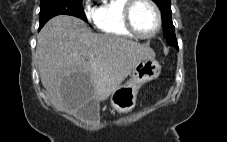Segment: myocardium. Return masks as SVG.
<instances>
[{"label": "myocardium", "mask_w": 227, "mask_h": 142, "mask_svg": "<svg viewBox=\"0 0 227 142\" xmlns=\"http://www.w3.org/2000/svg\"><path fill=\"white\" fill-rule=\"evenodd\" d=\"M140 2L148 3L155 11L157 16V27L150 34H142L140 33L133 23V11L136 5ZM123 21L127 30L133 34L134 36L141 39H150L156 36L162 28V14L159 6L153 0H127L126 4L123 8Z\"/></svg>", "instance_id": "1"}]
</instances>
